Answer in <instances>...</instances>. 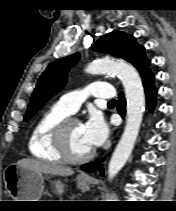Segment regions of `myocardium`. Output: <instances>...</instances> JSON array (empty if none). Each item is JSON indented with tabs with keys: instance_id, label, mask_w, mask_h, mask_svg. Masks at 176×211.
I'll list each match as a JSON object with an SVG mask.
<instances>
[{
	"instance_id": "obj_1",
	"label": "myocardium",
	"mask_w": 176,
	"mask_h": 211,
	"mask_svg": "<svg viewBox=\"0 0 176 211\" xmlns=\"http://www.w3.org/2000/svg\"><path fill=\"white\" fill-rule=\"evenodd\" d=\"M79 121L73 117L62 119L53 129L52 139L57 153L63 161L69 163H82L93 157L95 151L91 149L85 154L75 155L71 152L68 144L67 130L71 123Z\"/></svg>"
}]
</instances>
